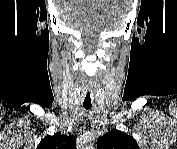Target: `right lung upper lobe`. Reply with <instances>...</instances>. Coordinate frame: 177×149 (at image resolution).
<instances>
[{
	"label": "right lung upper lobe",
	"instance_id": "cb5924a9",
	"mask_svg": "<svg viewBox=\"0 0 177 149\" xmlns=\"http://www.w3.org/2000/svg\"><path fill=\"white\" fill-rule=\"evenodd\" d=\"M38 149H76V142L73 136L56 133L45 137L39 143Z\"/></svg>",
	"mask_w": 177,
	"mask_h": 149
}]
</instances>
